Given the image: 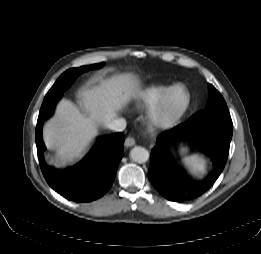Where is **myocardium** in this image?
I'll return each mask as SVG.
<instances>
[{"instance_id": "obj_1", "label": "myocardium", "mask_w": 261, "mask_h": 254, "mask_svg": "<svg viewBox=\"0 0 261 254\" xmlns=\"http://www.w3.org/2000/svg\"><path fill=\"white\" fill-rule=\"evenodd\" d=\"M177 89L184 92L185 100L176 112H170L167 110V101L169 95ZM191 101V93L184 84L178 83L169 86L156 104L148 110L145 118L148 128L153 131H168L174 128L187 113Z\"/></svg>"}]
</instances>
